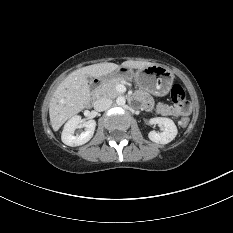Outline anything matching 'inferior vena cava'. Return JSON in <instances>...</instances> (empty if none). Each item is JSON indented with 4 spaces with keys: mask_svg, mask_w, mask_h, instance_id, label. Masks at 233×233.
Masks as SVG:
<instances>
[{
    "mask_svg": "<svg viewBox=\"0 0 233 233\" xmlns=\"http://www.w3.org/2000/svg\"><path fill=\"white\" fill-rule=\"evenodd\" d=\"M112 104V100L111 99H107V98H101L98 99L94 102V109L96 111H104L107 110Z\"/></svg>",
    "mask_w": 233,
    "mask_h": 233,
    "instance_id": "602c4592",
    "label": "inferior vena cava"
}]
</instances>
